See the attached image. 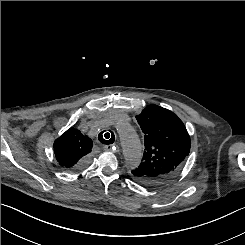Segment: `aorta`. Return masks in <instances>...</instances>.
Returning a JSON list of instances; mask_svg holds the SVG:
<instances>
[{"label":"aorta","instance_id":"aorta-1","mask_svg":"<svg viewBox=\"0 0 245 245\" xmlns=\"http://www.w3.org/2000/svg\"><path fill=\"white\" fill-rule=\"evenodd\" d=\"M117 131L126 161L132 166H137L142 157V146L135 129L129 123L121 122Z\"/></svg>","mask_w":245,"mask_h":245}]
</instances>
